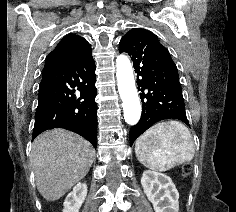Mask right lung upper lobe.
<instances>
[{"label":"right lung upper lobe","mask_w":236,"mask_h":212,"mask_svg":"<svg viewBox=\"0 0 236 212\" xmlns=\"http://www.w3.org/2000/svg\"><path fill=\"white\" fill-rule=\"evenodd\" d=\"M89 46V43L80 36L66 35L47 56L43 70L54 68L78 57Z\"/></svg>","instance_id":"cb5924a9"}]
</instances>
